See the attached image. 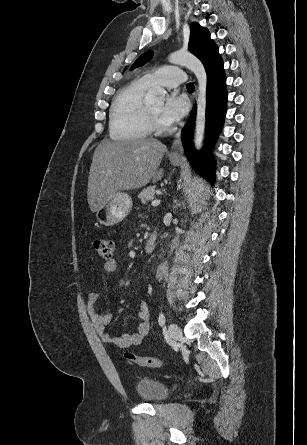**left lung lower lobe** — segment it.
Returning <instances> with one entry per match:
<instances>
[{
	"instance_id": "obj_1",
	"label": "left lung lower lobe",
	"mask_w": 307,
	"mask_h": 445,
	"mask_svg": "<svg viewBox=\"0 0 307 445\" xmlns=\"http://www.w3.org/2000/svg\"><path fill=\"white\" fill-rule=\"evenodd\" d=\"M207 73L206 126L208 140H213L222 127L226 112L227 91L221 57L213 60L205 68ZM195 108L187 127L182 134L186 156L193 168L210 183H214L213 166L206 155H198L191 147V132L194 126Z\"/></svg>"
}]
</instances>
